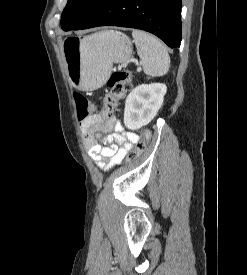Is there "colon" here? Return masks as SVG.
Listing matches in <instances>:
<instances>
[{
	"label": "colon",
	"instance_id": "colon-1",
	"mask_svg": "<svg viewBox=\"0 0 247 275\" xmlns=\"http://www.w3.org/2000/svg\"><path fill=\"white\" fill-rule=\"evenodd\" d=\"M132 80V74L127 70H116L112 72L107 80L109 88L108 93L104 98L103 114L105 117H111L114 110L122 100L125 93V86ZM77 117L79 121H84L90 117L96 110L95 104L82 94H75ZM151 138V133L147 129L139 131V141L136 143L133 150H131L126 160H136L146 149Z\"/></svg>",
	"mask_w": 247,
	"mask_h": 275
}]
</instances>
